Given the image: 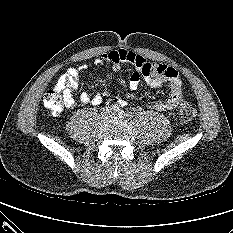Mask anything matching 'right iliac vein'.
Masks as SVG:
<instances>
[{
    "mask_svg": "<svg viewBox=\"0 0 233 233\" xmlns=\"http://www.w3.org/2000/svg\"><path fill=\"white\" fill-rule=\"evenodd\" d=\"M101 116L103 119H108L112 116V112L109 108H105V109H103Z\"/></svg>",
    "mask_w": 233,
    "mask_h": 233,
    "instance_id": "1",
    "label": "right iliac vein"
}]
</instances>
